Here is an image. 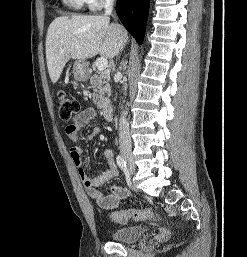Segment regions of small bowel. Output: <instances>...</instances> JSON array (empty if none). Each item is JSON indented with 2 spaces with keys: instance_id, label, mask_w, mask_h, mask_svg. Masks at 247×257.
Segmentation results:
<instances>
[{
  "instance_id": "small-bowel-1",
  "label": "small bowel",
  "mask_w": 247,
  "mask_h": 257,
  "mask_svg": "<svg viewBox=\"0 0 247 257\" xmlns=\"http://www.w3.org/2000/svg\"><path fill=\"white\" fill-rule=\"evenodd\" d=\"M95 116L96 112L93 108L82 110L74 117L73 123L66 127L67 137L74 142H78L81 130L86 127L89 122L95 118ZM98 133L99 129L97 128L86 137V140L90 141ZM82 152L83 150L81 146H74L70 149V157L77 168L78 174L88 195L103 209L116 208L120 200L129 196V191L125 187L120 186H112L109 194H103L99 191V187L118 175L113 151L111 149L104 150L103 158L107 163V169L95 178H90L87 175L82 159Z\"/></svg>"
}]
</instances>
